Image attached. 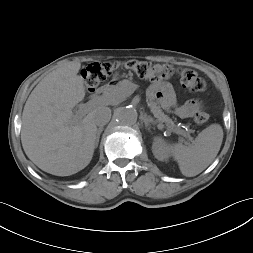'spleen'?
<instances>
[{"mask_svg":"<svg viewBox=\"0 0 253 253\" xmlns=\"http://www.w3.org/2000/svg\"><path fill=\"white\" fill-rule=\"evenodd\" d=\"M223 140V129L212 124L201 131L192 145L173 144L168 152L178 162L184 176L193 177L205 170L217 156Z\"/></svg>","mask_w":253,"mask_h":253,"instance_id":"obj_1","label":"spleen"}]
</instances>
